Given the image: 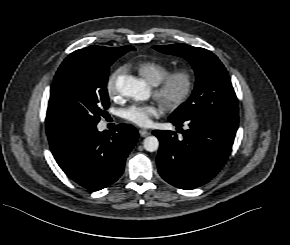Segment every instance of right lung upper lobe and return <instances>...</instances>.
<instances>
[{
    "label": "right lung upper lobe",
    "mask_w": 290,
    "mask_h": 245,
    "mask_svg": "<svg viewBox=\"0 0 290 245\" xmlns=\"http://www.w3.org/2000/svg\"><path fill=\"white\" fill-rule=\"evenodd\" d=\"M84 51H90L97 54H116L121 51H131L135 50L132 46H123V47H101V46H90L85 49H81ZM69 129L67 126L62 124L59 120H57L54 115L47 110L46 116V132L48 139L52 136L59 134L65 130Z\"/></svg>",
    "instance_id": "right-lung-upper-lobe-1"
}]
</instances>
